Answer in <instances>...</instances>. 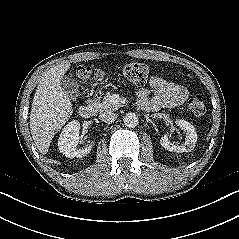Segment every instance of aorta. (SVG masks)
<instances>
[{"mask_svg":"<svg viewBox=\"0 0 239 239\" xmlns=\"http://www.w3.org/2000/svg\"><path fill=\"white\" fill-rule=\"evenodd\" d=\"M138 121L137 115L132 112L127 113L123 118L124 125L129 128L136 127L138 125Z\"/></svg>","mask_w":239,"mask_h":239,"instance_id":"762f6f07","label":"aorta"}]
</instances>
